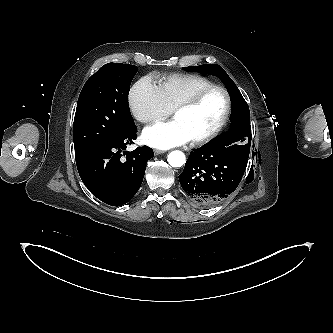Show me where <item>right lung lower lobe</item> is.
<instances>
[{"label":"right lung lower lobe","mask_w":333,"mask_h":333,"mask_svg":"<svg viewBox=\"0 0 333 333\" xmlns=\"http://www.w3.org/2000/svg\"><path fill=\"white\" fill-rule=\"evenodd\" d=\"M136 132V126H133L121 137L76 157L83 183L106 204L120 206L132 199L143 181L147 161L154 155L147 146L125 151L136 139Z\"/></svg>","instance_id":"1"}]
</instances>
